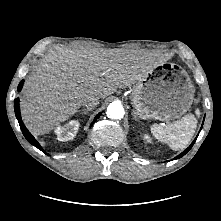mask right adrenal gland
<instances>
[{
    "label": "right adrenal gland",
    "instance_id": "2a0ac1e0",
    "mask_svg": "<svg viewBox=\"0 0 221 221\" xmlns=\"http://www.w3.org/2000/svg\"><path fill=\"white\" fill-rule=\"evenodd\" d=\"M91 109H82V110H79L80 114L82 115H86Z\"/></svg>",
    "mask_w": 221,
    "mask_h": 221
}]
</instances>
